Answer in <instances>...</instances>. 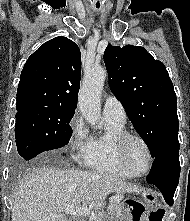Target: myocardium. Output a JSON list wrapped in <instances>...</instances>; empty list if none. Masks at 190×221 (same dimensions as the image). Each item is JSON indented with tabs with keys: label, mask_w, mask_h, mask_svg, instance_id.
<instances>
[{
	"label": "myocardium",
	"mask_w": 190,
	"mask_h": 221,
	"mask_svg": "<svg viewBox=\"0 0 190 221\" xmlns=\"http://www.w3.org/2000/svg\"><path fill=\"white\" fill-rule=\"evenodd\" d=\"M130 140L139 141L147 151L148 165H147V168L142 172L135 171L127 162V159H126V146H127V143ZM116 154H117V158H118V161H119L120 165L127 172H129L131 175L136 176V177L146 175L150 171V169L153 165V161H154V156H153L152 149H151L149 143L146 141V139L143 138L141 135H139L137 133L128 132V131L124 132L122 135H120L118 137V139L116 141Z\"/></svg>",
	"instance_id": "f54148a6"
}]
</instances>
